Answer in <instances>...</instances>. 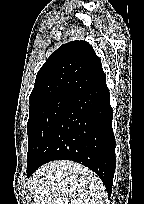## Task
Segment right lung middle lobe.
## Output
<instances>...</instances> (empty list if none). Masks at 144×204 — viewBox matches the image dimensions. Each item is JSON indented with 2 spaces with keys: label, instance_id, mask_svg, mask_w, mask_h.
Masks as SVG:
<instances>
[{
  "label": "right lung middle lobe",
  "instance_id": "1",
  "mask_svg": "<svg viewBox=\"0 0 144 204\" xmlns=\"http://www.w3.org/2000/svg\"><path fill=\"white\" fill-rule=\"evenodd\" d=\"M75 96L60 94L30 106L27 123L28 154L27 168L30 167L61 115Z\"/></svg>",
  "mask_w": 144,
  "mask_h": 204
}]
</instances>
